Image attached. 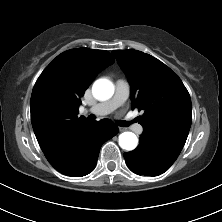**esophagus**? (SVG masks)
Returning <instances> with one entry per match:
<instances>
[{"label":"esophagus","instance_id":"esophagus-1","mask_svg":"<svg viewBox=\"0 0 222 222\" xmlns=\"http://www.w3.org/2000/svg\"><path fill=\"white\" fill-rule=\"evenodd\" d=\"M125 130H126L125 127H119V131H120V132H124Z\"/></svg>","mask_w":222,"mask_h":222}]
</instances>
